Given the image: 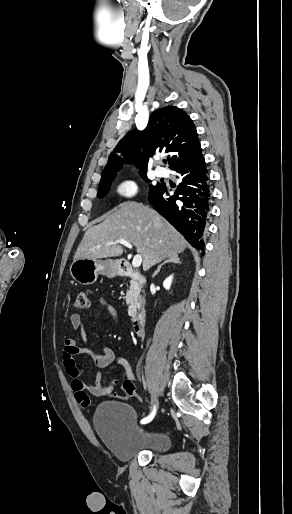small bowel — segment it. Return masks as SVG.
Returning <instances> with one entry per match:
<instances>
[{"label":"small bowel","mask_w":292,"mask_h":514,"mask_svg":"<svg viewBox=\"0 0 292 514\" xmlns=\"http://www.w3.org/2000/svg\"><path fill=\"white\" fill-rule=\"evenodd\" d=\"M97 305L102 307L110 319L116 320L118 313L115 306L104 297L96 299ZM71 329L74 332L81 331V338L87 342V335L83 330L82 317L78 313H74L69 318ZM81 355L89 359L94 365L100 368L108 367L116 362L121 375L120 382L131 383L135 379L134 372L129 361L125 357H116L114 351L104 346L102 347V354L94 353L91 350L80 347L75 338H67L63 343L62 348V361L67 374L71 377V388L75 393L77 402L83 407L85 411L90 409V397H104L109 395L115 401L128 402L130 397L128 395H120L117 391H112L113 385L105 384L103 378L99 374H94V384L86 385L80 378V371L76 365L75 357ZM133 385V384H132ZM134 396V393H131Z\"/></svg>","instance_id":"1"}]
</instances>
